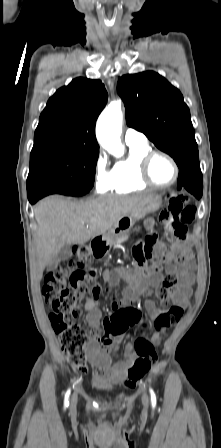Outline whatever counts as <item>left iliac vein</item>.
I'll return each mask as SVG.
<instances>
[{"instance_id":"left-iliac-vein-1","label":"left iliac vein","mask_w":221,"mask_h":448,"mask_svg":"<svg viewBox=\"0 0 221 448\" xmlns=\"http://www.w3.org/2000/svg\"><path fill=\"white\" fill-rule=\"evenodd\" d=\"M142 403H143L145 409H147L149 400H148V396L146 393H144L142 396Z\"/></svg>"}]
</instances>
